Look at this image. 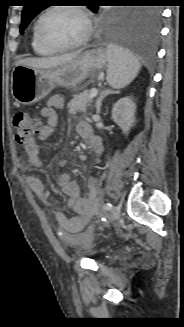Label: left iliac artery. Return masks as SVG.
Wrapping results in <instances>:
<instances>
[{"instance_id": "1", "label": "left iliac artery", "mask_w": 184, "mask_h": 327, "mask_svg": "<svg viewBox=\"0 0 184 327\" xmlns=\"http://www.w3.org/2000/svg\"><path fill=\"white\" fill-rule=\"evenodd\" d=\"M104 208L106 210H111L112 209V204L110 202H107L105 205H104Z\"/></svg>"}]
</instances>
